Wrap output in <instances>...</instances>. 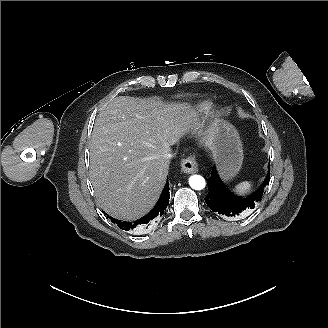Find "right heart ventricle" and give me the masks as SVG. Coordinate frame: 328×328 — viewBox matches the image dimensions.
Returning a JSON list of instances; mask_svg holds the SVG:
<instances>
[{
  "label": "right heart ventricle",
  "mask_w": 328,
  "mask_h": 328,
  "mask_svg": "<svg viewBox=\"0 0 328 328\" xmlns=\"http://www.w3.org/2000/svg\"><path fill=\"white\" fill-rule=\"evenodd\" d=\"M215 108L211 100L186 101L178 111L180 117V136H191L203 127L209 112Z\"/></svg>",
  "instance_id": "1"
}]
</instances>
